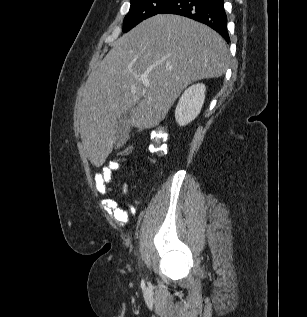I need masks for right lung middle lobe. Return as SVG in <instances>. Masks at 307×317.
<instances>
[{
  "label": "right lung middle lobe",
  "mask_w": 307,
  "mask_h": 317,
  "mask_svg": "<svg viewBox=\"0 0 307 317\" xmlns=\"http://www.w3.org/2000/svg\"><path fill=\"white\" fill-rule=\"evenodd\" d=\"M173 0H130L131 6L124 18L123 32H127L141 21L159 14Z\"/></svg>",
  "instance_id": "dd1d6c3e"
}]
</instances>
